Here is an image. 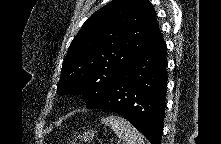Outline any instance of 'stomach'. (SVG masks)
Listing matches in <instances>:
<instances>
[{"label": "stomach", "instance_id": "0dacf381", "mask_svg": "<svg viewBox=\"0 0 221 144\" xmlns=\"http://www.w3.org/2000/svg\"><path fill=\"white\" fill-rule=\"evenodd\" d=\"M95 131L92 129L85 130L82 135H79L78 138L84 140L85 142L91 141L94 138Z\"/></svg>", "mask_w": 221, "mask_h": 144}]
</instances>
